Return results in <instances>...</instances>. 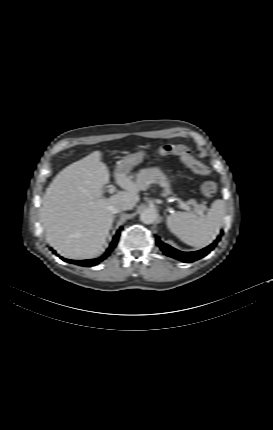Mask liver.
Instances as JSON below:
<instances>
[{"label":"liver","mask_w":273,"mask_h":430,"mask_svg":"<svg viewBox=\"0 0 273 430\" xmlns=\"http://www.w3.org/2000/svg\"><path fill=\"white\" fill-rule=\"evenodd\" d=\"M114 177L124 191L106 198L109 171L94 151L60 171L47 188L40 219L47 242L63 257H96L114 220L109 207L123 202L131 210L139 202V185L118 169Z\"/></svg>","instance_id":"liver-1"}]
</instances>
